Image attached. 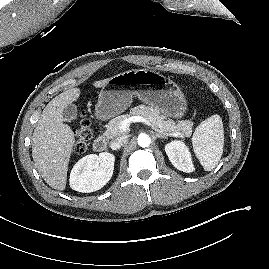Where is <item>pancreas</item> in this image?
<instances>
[{
  "instance_id": "obj_1",
  "label": "pancreas",
  "mask_w": 269,
  "mask_h": 269,
  "mask_svg": "<svg viewBox=\"0 0 269 269\" xmlns=\"http://www.w3.org/2000/svg\"><path fill=\"white\" fill-rule=\"evenodd\" d=\"M134 115L144 117L156 128L163 130L166 133L182 131L183 135L187 137L191 136L192 134L193 123L191 121H180L175 124L173 120L167 119L165 115L161 114L159 109L151 106L139 105L137 107H133L129 114L120 115L110 120L104 133L105 138L113 139L115 137L124 135L125 132L119 129V125L123 120Z\"/></svg>"
}]
</instances>
